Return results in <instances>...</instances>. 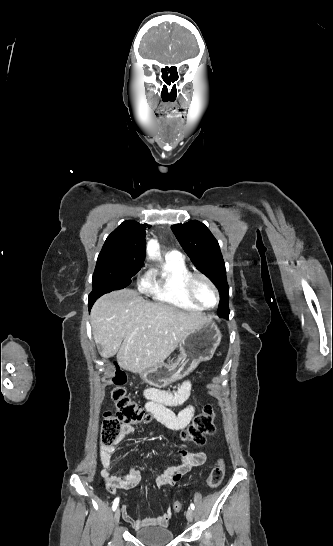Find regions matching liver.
<instances>
[{"label":"liver","mask_w":333,"mask_h":546,"mask_svg":"<svg viewBox=\"0 0 333 546\" xmlns=\"http://www.w3.org/2000/svg\"><path fill=\"white\" fill-rule=\"evenodd\" d=\"M92 333L109 358L141 374L163 363L178 344L208 319L163 303L146 301L137 291L123 289L100 297L91 310Z\"/></svg>","instance_id":"1"}]
</instances>
